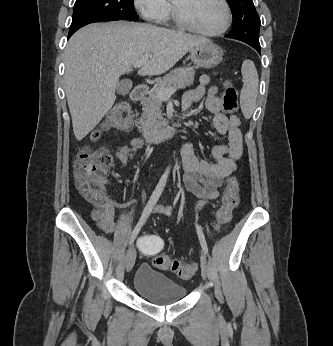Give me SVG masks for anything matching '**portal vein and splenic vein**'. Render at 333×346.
Wrapping results in <instances>:
<instances>
[{
	"label": "portal vein and splenic vein",
	"instance_id": "obj_1",
	"mask_svg": "<svg viewBox=\"0 0 333 346\" xmlns=\"http://www.w3.org/2000/svg\"><path fill=\"white\" fill-rule=\"evenodd\" d=\"M151 57V55L149 54H145L143 55L138 61H136L134 64H133V67L134 68H140L142 67L143 65L146 64V62L148 61V59ZM176 91V88L173 86V87H170L169 89H161L157 92V96L158 98H160L161 100H166V99H169L171 97V95L173 93H175Z\"/></svg>",
	"mask_w": 333,
	"mask_h": 346
}]
</instances>
